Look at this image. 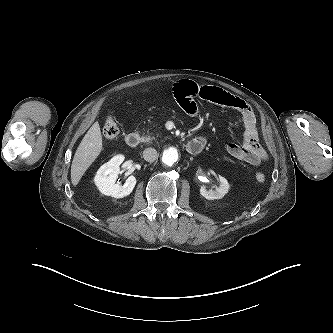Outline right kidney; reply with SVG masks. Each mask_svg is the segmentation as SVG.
<instances>
[{"instance_id": "ca27d5eb", "label": "right kidney", "mask_w": 333, "mask_h": 333, "mask_svg": "<svg viewBox=\"0 0 333 333\" xmlns=\"http://www.w3.org/2000/svg\"><path fill=\"white\" fill-rule=\"evenodd\" d=\"M123 161L124 156L117 155L98 169L94 182L102 194L114 198H123L133 191L136 185L134 176H129L123 186L115 183L120 173L119 166Z\"/></svg>"}]
</instances>
